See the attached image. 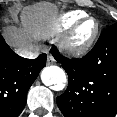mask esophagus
I'll return each instance as SVG.
<instances>
[{"mask_svg": "<svg viewBox=\"0 0 117 117\" xmlns=\"http://www.w3.org/2000/svg\"><path fill=\"white\" fill-rule=\"evenodd\" d=\"M54 63H55L54 57L51 54H48L47 55V64L51 65V64H54Z\"/></svg>", "mask_w": 117, "mask_h": 117, "instance_id": "1", "label": "esophagus"}]
</instances>
